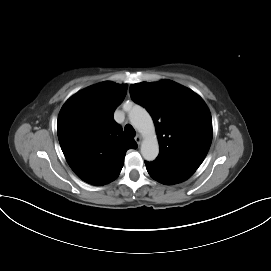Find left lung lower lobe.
I'll return each mask as SVG.
<instances>
[{
  "label": "left lung lower lobe",
  "mask_w": 271,
  "mask_h": 271,
  "mask_svg": "<svg viewBox=\"0 0 271 271\" xmlns=\"http://www.w3.org/2000/svg\"><path fill=\"white\" fill-rule=\"evenodd\" d=\"M150 176L156 181L163 184H176L188 179L195 170L169 162L155 160L145 162Z\"/></svg>",
  "instance_id": "0a47b994"
}]
</instances>
